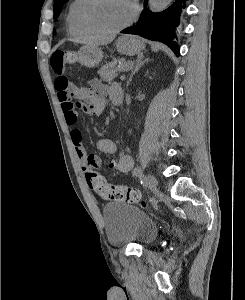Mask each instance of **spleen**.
Wrapping results in <instances>:
<instances>
[{"label": "spleen", "mask_w": 245, "mask_h": 300, "mask_svg": "<svg viewBox=\"0 0 245 300\" xmlns=\"http://www.w3.org/2000/svg\"><path fill=\"white\" fill-rule=\"evenodd\" d=\"M152 50H153V51H157V50H158L157 46H156V45H155V46L153 45V46H152Z\"/></svg>", "instance_id": "obj_1"}]
</instances>
